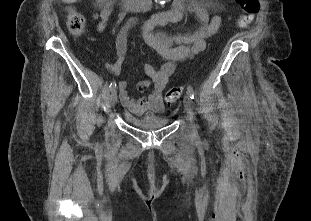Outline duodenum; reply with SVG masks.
Segmentation results:
<instances>
[{
	"label": "duodenum",
	"mask_w": 311,
	"mask_h": 221,
	"mask_svg": "<svg viewBox=\"0 0 311 221\" xmlns=\"http://www.w3.org/2000/svg\"><path fill=\"white\" fill-rule=\"evenodd\" d=\"M120 6L126 11H139L148 9L152 0H119ZM133 26H140L141 22L132 24Z\"/></svg>",
	"instance_id": "410a0bca"
}]
</instances>
